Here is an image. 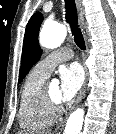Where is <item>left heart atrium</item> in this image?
I'll use <instances>...</instances> for the list:
<instances>
[{"instance_id": "1", "label": "left heart atrium", "mask_w": 116, "mask_h": 134, "mask_svg": "<svg viewBox=\"0 0 116 134\" xmlns=\"http://www.w3.org/2000/svg\"><path fill=\"white\" fill-rule=\"evenodd\" d=\"M59 101L72 100L81 89L84 82V72L79 64L73 63L59 71Z\"/></svg>"}]
</instances>
